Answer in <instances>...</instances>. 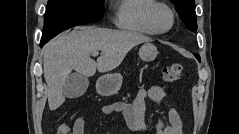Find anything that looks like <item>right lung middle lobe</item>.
<instances>
[{
	"instance_id": "right-lung-middle-lobe-1",
	"label": "right lung middle lobe",
	"mask_w": 239,
	"mask_h": 134,
	"mask_svg": "<svg viewBox=\"0 0 239 134\" xmlns=\"http://www.w3.org/2000/svg\"><path fill=\"white\" fill-rule=\"evenodd\" d=\"M103 0H48L42 38H53L70 27L100 21Z\"/></svg>"
}]
</instances>
